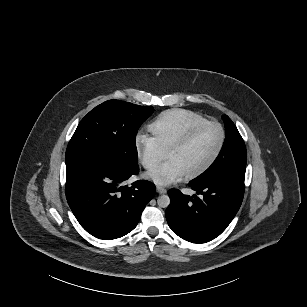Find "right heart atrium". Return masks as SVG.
Here are the masks:
<instances>
[{
    "mask_svg": "<svg viewBox=\"0 0 307 307\" xmlns=\"http://www.w3.org/2000/svg\"><path fill=\"white\" fill-rule=\"evenodd\" d=\"M134 151L142 166L149 170H155L162 162L164 154L152 137L137 135L134 140Z\"/></svg>",
    "mask_w": 307,
    "mask_h": 307,
    "instance_id": "right-heart-atrium-1",
    "label": "right heart atrium"
}]
</instances>
